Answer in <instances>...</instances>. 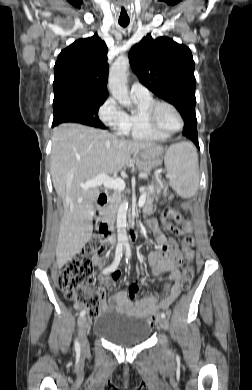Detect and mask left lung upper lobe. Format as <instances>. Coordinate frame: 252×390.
Returning <instances> with one entry per match:
<instances>
[{"label":"left lung upper lobe","mask_w":252,"mask_h":390,"mask_svg":"<svg viewBox=\"0 0 252 390\" xmlns=\"http://www.w3.org/2000/svg\"><path fill=\"white\" fill-rule=\"evenodd\" d=\"M140 82L173 104L183 119L196 117L194 60L191 50L170 38L155 40L148 34L129 52Z\"/></svg>","instance_id":"left-lung-upper-lobe-1"}]
</instances>
